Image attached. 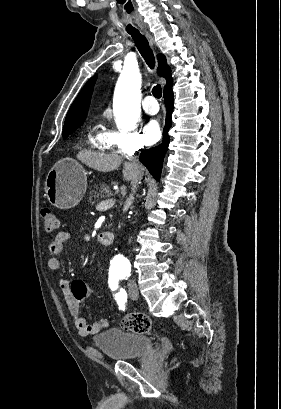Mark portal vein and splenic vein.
<instances>
[{
	"label": "portal vein and splenic vein",
	"mask_w": 281,
	"mask_h": 409,
	"mask_svg": "<svg viewBox=\"0 0 281 409\" xmlns=\"http://www.w3.org/2000/svg\"><path fill=\"white\" fill-rule=\"evenodd\" d=\"M114 201H115V198L112 196H109L107 200H103V199L99 200L98 203L95 205V208L99 210L100 213L103 214L106 212L107 210L106 208L111 206L112 202Z\"/></svg>",
	"instance_id": "obj_1"
}]
</instances>
